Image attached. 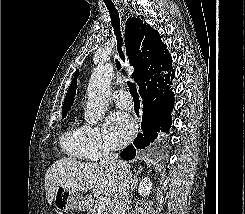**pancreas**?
<instances>
[{"mask_svg": "<svg viewBox=\"0 0 245 214\" xmlns=\"http://www.w3.org/2000/svg\"><path fill=\"white\" fill-rule=\"evenodd\" d=\"M101 197H98L96 200L91 201L90 204V214H112V207L111 205H108L105 208H101L100 213L98 212V207H99V202H100Z\"/></svg>", "mask_w": 245, "mask_h": 214, "instance_id": "obj_1", "label": "pancreas"}]
</instances>
